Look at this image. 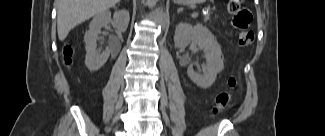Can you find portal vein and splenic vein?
Returning a JSON list of instances; mask_svg holds the SVG:
<instances>
[{
    "instance_id": "18ae733b",
    "label": "portal vein and splenic vein",
    "mask_w": 325,
    "mask_h": 136,
    "mask_svg": "<svg viewBox=\"0 0 325 136\" xmlns=\"http://www.w3.org/2000/svg\"><path fill=\"white\" fill-rule=\"evenodd\" d=\"M196 16H198V12H194V13L192 14V17H196Z\"/></svg>"
}]
</instances>
